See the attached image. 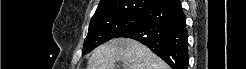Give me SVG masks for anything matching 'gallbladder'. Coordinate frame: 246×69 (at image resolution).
Returning <instances> with one entry per match:
<instances>
[{"instance_id": "bac80fb5", "label": "gallbladder", "mask_w": 246, "mask_h": 69, "mask_svg": "<svg viewBox=\"0 0 246 69\" xmlns=\"http://www.w3.org/2000/svg\"><path fill=\"white\" fill-rule=\"evenodd\" d=\"M116 69H120V66H117Z\"/></svg>"}]
</instances>
